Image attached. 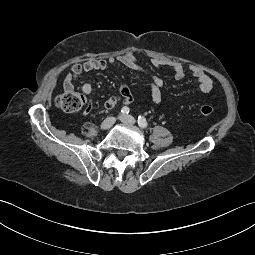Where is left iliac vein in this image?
<instances>
[{"label":"left iliac vein","instance_id":"left-iliac-vein-1","mask_svg":"<svg viewBox=\"0 0 255 255\" xmlns=\"http://www.w3.org/2000/svg\"><path fill=\"white\" fill-rule=\"evenodd\" d=\"M120 120L126 124H134L136 122L135 118L131 115H122Z\"/></svg>","mask_w":255,"mask_h":255}]
</instances>
